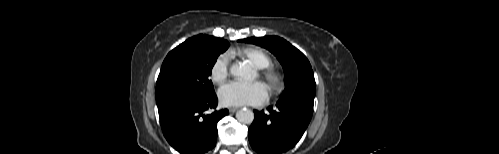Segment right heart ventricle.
Wrapping results in <instances>:
<instances>
[{
  "label": "right heart ventricle",
  "instance_id": "obj_1",
  "mask_svg": "<svg viewBox=\"0 0 499 154\" xmlns=\"http://www.w3.org/2000/svg\"><path fill=\"white\" fill-rule=\"evenodd\" d=\"M231 56L248 61L258 69H264L272 63L270 55L265 50L257 47L244 48L236 54L232 53Z\"/></svg>",
  "mask_w": 499,
  "mask_h": 154
}]
</instances>
